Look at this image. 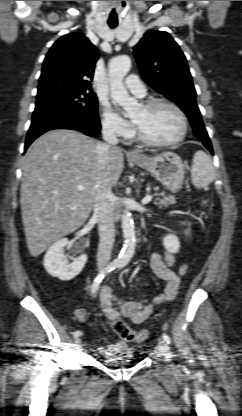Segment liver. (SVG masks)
Returning <instances> with one entry per match:
<instances>
[{"label":"liver","mask_w":242,"mask_h":416,"mask_svg":"<svg viewBox=\"0 0 242 416\" xmlns=\"http://www.w3.org/2000/svg\"><path fill=\"white\" fill-rule=\"evenodd\" d=\"M100 142L70 129H55L36 139L23 164L21 211L26 242L37 257L88 219L100 175L114 187L124 168L120 148L99 166ZM82 185L83 190H78Z\"/></svg>","instance_id":"6515ba94"}]
</instances>
